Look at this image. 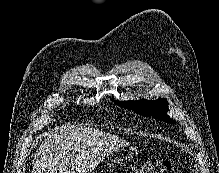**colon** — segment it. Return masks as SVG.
Returning <instances> with one entry per match:
<instances>
[{"mask_svg":"<svg viewBox=\"0 0 219 173\" xmlns=\"http://www.w3.org/2000/svg\"><path fill=\"white\" fill-rule=\"evenodd\" d=\"M124 173H175V171L170 161L151 160L143 165L132 167Z\"/></svg>","mask_w":219,"mask_h":173,"instance_id":"colon-1","label":"colon"}]
</instances>
